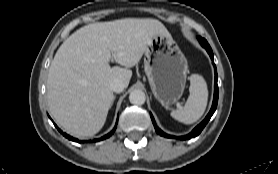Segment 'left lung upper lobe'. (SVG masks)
I'll use <instances>...</instances> for the list:
<instances>
[{
	"label": "left lung upper lobe",
	"instance_id": "1",
	"mask_svg": "<svg viewBox=\"0 0 278 174\" xmlns=\"http://www.w3.org/2000/svg\"><path fill=\"white\" fill-rule=\"evenodd\" d=\"M198 40L203 47H206V46L210 47L208 42L204 38L198 37Z\"/></svg>",
	"mask_w": 278,
	"mask_h": 174
}]
</instances>
